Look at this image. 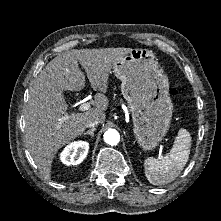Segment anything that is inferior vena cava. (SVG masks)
Listing matches in <instances>:
<instances>
[{
	"label": "inferior vena cava",
	"mask_w": 221,
	"mask_h": 221,
	"mask_svg": "<svg viewBox=\"0 0 221 221\" xmlns=\"http://www.w3.org/2000/svg\"><path fill=\"white\" fill-rule=\"evenodd\" d=\"M101 123V119L100 118H94L92 119L89 123H88V127L90 128H95L96 125Z\"/></svg>",
	"instance_id": "inferior-vena-cava-1"
}]
</instances>
